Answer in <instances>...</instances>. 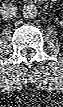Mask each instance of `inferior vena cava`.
I'll list each match as a JSON object with an SVG mask.
<instances>
[{
    "instance_id": "inferior-vena-cava-1",
    "label": "inferior vena cava",
    "mask_w": 63,
    "mask_h": 107,
    "mask_svg": "<svg viewBox=\"0 0 63 107\" xmlns=\"http://www.w3.org/2000/svg\"><path fill=\"white\" fill-rule=\"evenodd\" d=\"M18 8L13 4H4L1 7V15L4 19H12L17 16Z\"/></svg>"
}]
</instances>
